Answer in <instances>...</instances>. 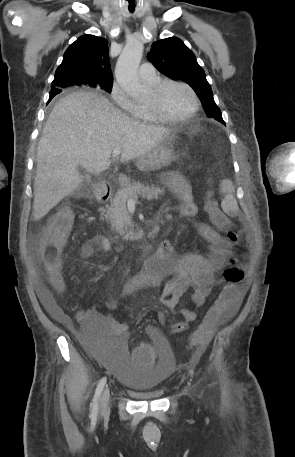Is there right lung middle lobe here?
Masks as SVG:
<instances>
[{
	"label": "right lung middle lobe",
	"mask_w": 295,
	"mask_h": 457,
	"mask_svg": "<svg viewBox=\"0 0 295 457\" xmlns=\"http://www.w3.org/2000/svg\"><path fill=\"white\" fill-rule=\"evenodd\" d=\"M112 83H113V82H107V83H105V84H103V85H101V86H100V85H96V84L94 83V84H92V85H90V86H91V87L100 86L101 88L105 89L107 92H111V90H112ZM72 85H74V84H68V85H66L65 87H67V86H72ZM77 85L80 86V84H77Z\"/></svg>",
	"instance_id": "obj_1"
}]
</instances>
